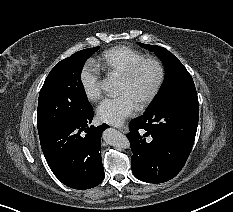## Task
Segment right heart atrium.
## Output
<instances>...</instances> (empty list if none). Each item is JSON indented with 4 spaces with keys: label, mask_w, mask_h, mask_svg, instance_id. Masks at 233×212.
Returning <instances> with one entry per match:
<instances>
[{
    "label": "right heart atrium",
    "mask_w": 233,
    "mask_h": 212,
    "mask_svg": "<svg viewBox=\"0 0 233 212\" xmlns=\"http://www.w3.org/2000/svg\"><path fill=\"white\" fill-rule=\"evenodd\" d=\"M80 84L85 96L95 101L101 96L100 71L92 62H87L80 72Z\"/></svg>",
    "instance_id": "right-heart-atrium-1"
}]
</instances>
